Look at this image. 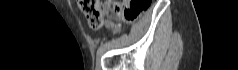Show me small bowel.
Here are the masks:
<instances>
[{"label":"small bowel","instance_id":"1","mask_svg":"<svg viewBox=\"0 0 238 70\" xmlns=\"http://www.w3.org/2000/svg\"><path fill=\"white\" fill-rule=\"evenodd\" d=\"M107 26L110 28L116 27V25L112 21H108Z\"/></svg>","mask_w":238,"mask_h":70}]
</instances>
